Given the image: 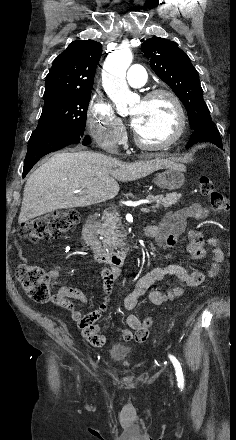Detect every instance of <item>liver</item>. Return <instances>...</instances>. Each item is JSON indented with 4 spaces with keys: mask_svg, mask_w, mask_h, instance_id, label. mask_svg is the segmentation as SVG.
Returning <instances> with one entry per match:
<instances>
[{
    "mask_svg": "<svg viewBox=\"0 0 236 440\" xmlns=\"http://www.w3.org/2000/svg\"><path fill=\"white\" fill-rule=\"evenodd\" d=\"M172 164L159 158L125 163L90 151L56 153L27 180L18 223L58 209L107 201L118 194L117 181H134Z\"/></svg>",
    "mask_w": 236,
    "mask_h": 440,
    "instance_id": "1",
    "label": "liver"
}]
</instances>
